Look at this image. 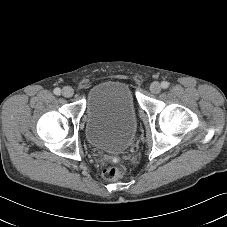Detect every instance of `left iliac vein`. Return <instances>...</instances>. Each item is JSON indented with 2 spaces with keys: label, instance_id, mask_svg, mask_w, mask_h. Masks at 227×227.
Segmentation results:
<instances>
[{
  "label": "left iliac vein",
  "instance_id": "1",
  "mask_svg": "<svg viewBox=\"0 0 227 227\" xmlns=\"http://www.w3.org/2000/svg\"><path fill=\"white\" fill-rule=\"evenodd\" d=\"M150 91L151 93L153 94H158L160 93L161 91V84L159 82H153L151 85H150Z\"/></svg>",
  "mask_w": 227,
  "mask_h": 227
}]
</instances>
